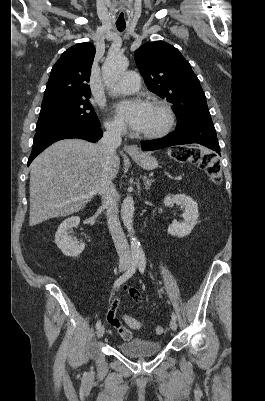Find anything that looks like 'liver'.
Returning a JSON list of instances; mask_svg holds the SVG:
<instances>
[{"instance_id":"liver-1","label":"liver","mask_w":265,"mask_h":401,"mask_svg":"<svg viewBox=\"0 0 265 401\" xmlns=\"http://www.w3.org/2000/svg\"><path fill=\"white\" fill-rule=\"evenodd\" d=\"M119 166L115 154L109 168L112 178ZM106 168L100 144L65 138L48 146L30 164V227L81 211L91 201Z\"/></svg>"}]
</instances>
